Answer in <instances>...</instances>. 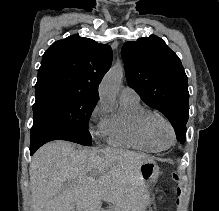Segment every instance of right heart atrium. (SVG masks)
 Returning <instances> with one entry per match:
<instances>
[{"instance_id":"obj_1","label":"right heart atrium","mask_w":219,"mask_h":211,"mask_svg":"<svg viewBox=\"0 0 219 211\" xmlns=\"http://www.w3.org/2000/svg\"><path fill=\"white\" fill-rule=\"evenodd\" d=\"M106 114H107V106L103 101L96 104L90 112L89 115L90 123H94L99 120L96 130V135L98 137H102L106 135L107 123H108V118Z\"/></svg>"}]
</instances>
